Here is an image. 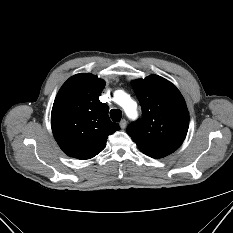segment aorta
Here are the masks:
<instances>
[{
	"instance_id": "762f6f07",
	"label": "aorta",
	"mask_w": 233,
	"mask_h": 233,
	"mask_svg": "<svg viewBox=\"0 0 233 233\" xmlns=\"http://www.w3.org/2000/svg\"><path fill=\"white\" fill-rule=\"evenodd\" d=\"M115 99L124 108L129 118L135 119L137 117L136 107L134 106L135 102L125 92L121 90L116 91Z\"/></svg>"
}]
</instances>
